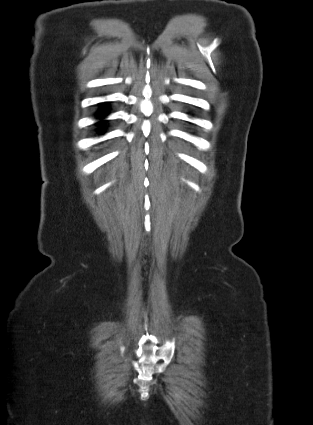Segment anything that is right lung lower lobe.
Instances as JSON below:
<instances>
[{
	"label": "right lung lower lobe",
	"instance_id": "98d812e1",
	"mask_svg": "<svg viewBox=\"0 0 313 425\" xmlns=\"http://www.w3.org/2000/svg\"><path fill=\"white\" fill-rule=\"evenodd\" d=\"M105 115H106L105 109H101L99 116L101 117V116H105ZM101 123H103V122H101Z\"/></svg>",
	"mask_w": 313,
	"mask_h": 425
}]
</instances>
